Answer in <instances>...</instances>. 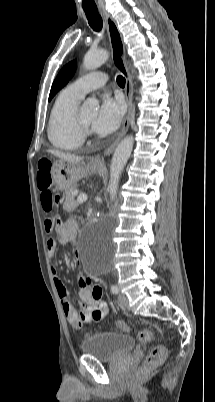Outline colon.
I'll list each match as a JSON object with an SVG mask.
<instances>
[{"instance_id":"colon-1","label":"colon","mask_w":215,"mask_h":402,"mask_svg":"<svg viewBox=\"0 0 215 402\" xmlns=\"http://www.w3.org/2000/svg\"><path fill=\"white\" fill-rule=\"evenodd\" d=\"M38 169L36 174L37 187L41 192L42 206L46 211H50L58 203V196L53 190V179L51 173L50 156H40L38 159ZM54 219L49 218L45 220V229L51 231L54 227ZM117 329L120 331H128L126 323L120 321L117 323ZM153 338V333L149 330H142L138 333V339L141 342H148ZM166 357V348L164 346H156L150 350L145 358L143 371L147 372L159 366Z\"/></svg>"}]
</instances>
